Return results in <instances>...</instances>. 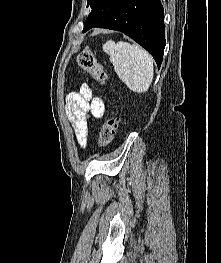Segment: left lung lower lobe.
Masks as SVG:
<instances>
[{
	"mask_svg": "<svg viewBox=\"0 0 221 263\" xmlns=\"http://www.w3.org/2000/svg\"><path fill=\"white\" fill-rule=\"evenodd\" d=\"M163 16L160 0H102L92 8L83 32L93 27L121 31L145 48L160 68L166 44Z\"/></svg>",
	"mask_w": 221,
	"mask_h": 263,
	"instance_id": "1",
	"label": "left lung lower lobe"
}]
</instances>
